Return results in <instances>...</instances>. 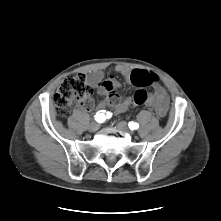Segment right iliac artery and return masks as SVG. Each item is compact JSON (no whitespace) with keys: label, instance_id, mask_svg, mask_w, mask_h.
<instances>
[{"label":"right iliac artery","instance_id":"obj_1","mask_svg":"<svg viewBox=\"0 0 221 221\" xmlns=\"http://www.w3.org/2000/svg\"><path fill=\"white\" fill-rule=\"evenodd\" d=\"M104 110H100L96 113V115L94 116L95 117V120L98 122V123H102L103 121H105V115H104Z\"/></svg>","mask_w":221,"mask_h":221}]
</instances>
